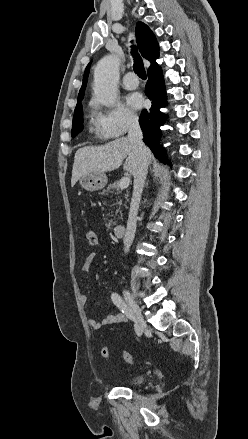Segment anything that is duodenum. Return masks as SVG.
Instances as JSON below:
<instances>
[{"mask_svg":"<svg viewBox=\"0 0 248 439\" xmlns=\"http://www.w3.org/2000/svg\"><path fill=\"white\" fill-rule=\"evenodd\" d=\"M126 225L124 223H118L114 226V234L116 236H122L125 233Z\"/></svg>","mask_w":248,"mask_h":439,"instance_id":"1","label":"duodenum"}]
</instances>
